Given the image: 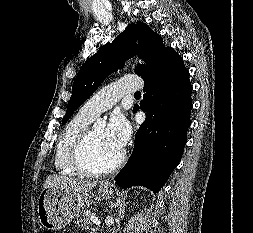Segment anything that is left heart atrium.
<instances>
[{"instance_id":"obj_1","label":"left heart atrium","mask_w":253,"mask_h":233,"mask_svg":"<svg viewBox=\"0 0 253 233\" xmlns=\"http://www.w3.org/2000/svg\"><path fill=\"white\" fill-rule=\"evenodd\" d=\"M131 135V126L127 119L115 114L111 117L105 129V138L108 143L117 150H122L127 144Z\"/></svg>"}]
</instances>
